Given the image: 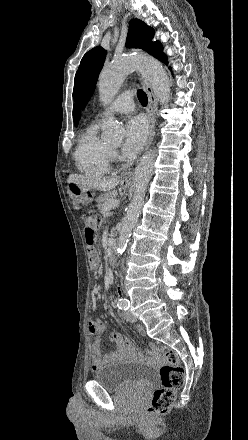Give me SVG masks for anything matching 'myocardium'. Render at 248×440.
<instances>
[{
	"label": "myocardium",
	"mask_w": 248,
	"mask_h": 440,
	"mask_svg": "<svg viewBox=\"0 0 248 440\" xmlns=\"http://www.w3.org/2000/svg\"><path fill=\"white\" fill-rule=\"evenodd\" d=\"M111 159L115 160L117 158L116 151L112 148H109Z\"/></svg>",
	"instance_id": "f54148a6"
}]
</instances>
